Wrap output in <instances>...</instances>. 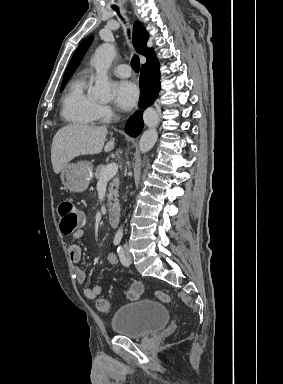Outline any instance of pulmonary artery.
<instances>
[{"label":"pulmonary artery","mask_w":283,"mask_h":384,"mask_svg":"<svg viewBox=\"0 0 283 384\" xmlns=\"http://www.w3.org/2000/svg\"><path fill=\"white\" fill-rule=\"evenodd\" d=\"M113 72L117 77L126 78L130 76L131 69L127 65L119 64L114 67Z\"/></svg>","instance_id":"obj_1"}]
</instances>
